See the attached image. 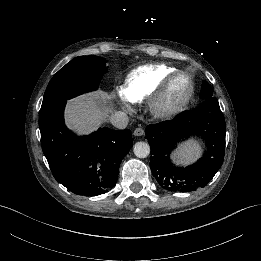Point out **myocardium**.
Wrapping results in <instances>:
<instances>
[{
  "label": "myocardium",
  "mask_w": 261,
  "mask_h": 261,
  "mask_svg": "<svg viewBox=\"0 0 261 261\" xmlns=\"http://www.w3.org/2000/svg\"><path fill=\"white\" fill-rule=\"evenodd\" d=\"M183 79L186 81L188 90L184 97L177 100H172V92L175 83ZM195 91L194 82L191 76L184 71H176L168 77L163 83L159 92L151 101V112L158 118H170L181 113L189 104Z\"/></svg>",
  "instance_id": "f54148a6"
}]
</instances>
